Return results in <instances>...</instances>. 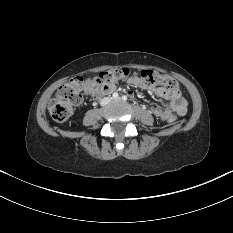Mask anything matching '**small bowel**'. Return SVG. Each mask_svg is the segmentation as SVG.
Wrapping results in <instances>:
<instances>
[{
    "instance_id": "c3829d8e",
    "label": "small bowel",
    "mask_w": 233,
    "mask_h": 233,
    "mask_svg": "<svg viewBox=\"0 0 233 233\" xmlns=\"http://www.w3.org/2000/svg\"><path fill=\"white\" fill-rule=\"evenodd\" d=\"M125 82L127 84H135L144 89L152 90L156 96L165 100L167 102L166 107H160L157 105H153L150 108V112L157 118L161 120H168L170 118H176L177 116H183L187 112V101L180 94V92L173 93L166 88L158 87L154 88L151 85L145 84L141 80L138 79V74L136 72H131L129 75L125 77ZM115 87L106 91L111 92Z\"/></svg>"
}]
</instances>
